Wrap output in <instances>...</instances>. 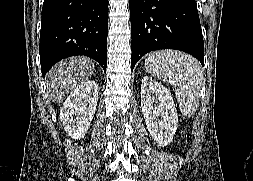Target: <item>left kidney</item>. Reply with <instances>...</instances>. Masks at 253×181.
Masks as SVG:
<instances>
[{
  "mask_svg": "<svg viewBox=\"0 0 253 181\" xmlns=\"http://www.w3.org/2000/svg\"><path fill=\"white\" fill-rule=\"evenodd\" d=\"M141 107L147 129L159 146L169 144L178 126V115L170 91L145 76L141 85Z\"/></svg>",
  "mask_w": 253,
  "mask_h": 181,
  "instance_id": "5707ae66",
  "label": "left kidney"
}]
</instances>
